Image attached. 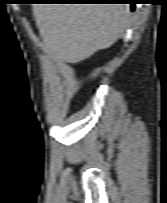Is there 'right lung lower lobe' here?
<instances>
[{"instance_id":"98d812e1","label":"right lung lower lobe","mask_w":167,"mask_h":203,"mask_svg":"<svg viewBox=\"0 0 167 203\" xmlns=\"http://www.w3.org/2000/svg\"><path fill=\"white\" fill-rule=\"evenodd\" d=\"M100 1H111V2H98V3H130L131 11H134V9H135V3L133 0H100ZM127 1H129V2H127Z\"/></svg>"}]
</instances>
